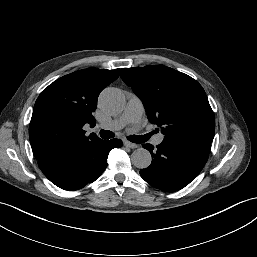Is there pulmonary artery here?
Segmentation results:
<instances>
[{
	"mask_svg": "<svg viewBox=\"0 0 257 257\" xmlns=\"http://www.w3.org/2000/svg\"><path fill=\"white\" fill-rule=\"evenodd\" d=\"M143 112L144 106L142 101L138 97L132 96L128 100L122 115L117 119L102 124L101 127L109 130H119L128 124L138 126L141 122ZM163 139L164 135L160 133L153 138V143L159 145L162 143Z\"/></svg>",
	"mask_w": 257,
	"mask_h": 257,
	"instance_id": "e3ab8cb5",
	"label": "pulmonary artery"
}]
</instances>
